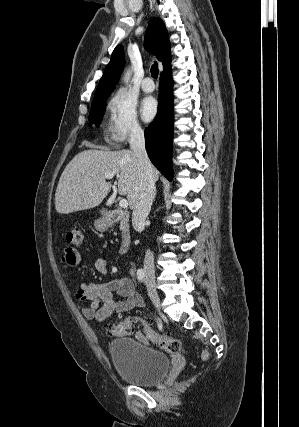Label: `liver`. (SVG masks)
<instances>
[{
  "label": "liver",
  "mask_w": 299,
  "mask_h": 427,
  "mask_svg": "<svg viewBox=\"0 0 299 427\" xmlns=\"http://www.w3.org/2000/svg\"><path fill=\"white\" fill-rule=\"evenodd\" d=\"M106 173L118 176V193L126 196L131 209L139 192L137 158L133 151L97 149L78 153L64 169L55 193V208L60 214L87 210L101 204L111 190ZM154 180L159 172L153 168Z\"/></svg>",
  "instance_id": "liver-1"
}]
</instances>
